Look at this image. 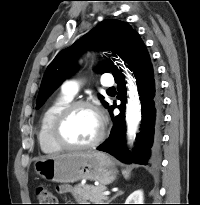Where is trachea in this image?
Here are the masks:
<instances>
[{
    "instance_id": "1",
    "label": "trachea",
    "mask_w": 200,
    "mask_h": 205,
    "mask_svg": "<svg viewBox=\"0 0 200 205\" xmlns=\"http://www.w3.org/2000/svg\"><path fill=\"white\" fill-rule=\"evenodd\" d=\"M112 90H114V88H113V87H111V88H109V89H108V91H112Z\"/></svg>"
}]
</instances>
